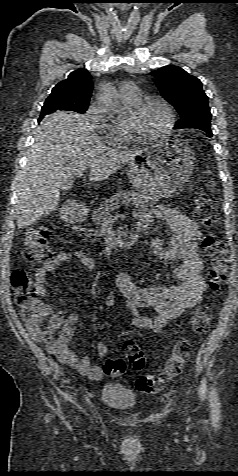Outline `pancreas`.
Listing matches in <instances>:
<instances>
[{
  "label": "pancreas",
  "mask_w": 238,
  "mask_h": 476,
  "mask_svg": "<svg viewBox=\"0 0 238 476\" xmlns=\"http://www.w3.org/2000/svg\"><path fill=\"white\" fill-rule=\"evenodd\" d=\"M154 202L153 199L138 192L119 191L94 210L92 213V221L96 225L102 224L105 216L112 211L118 210L120 205L127 207L131 204L135 207L147 208L148 205H152Z\"/></svg>",
  "instance_id": "pancreas-1"
}]
</instances>
